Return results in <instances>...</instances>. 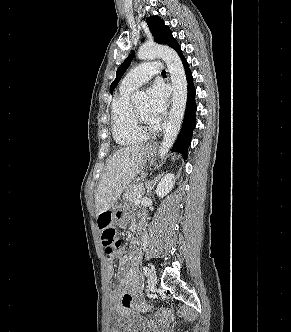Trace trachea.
<instances>
[{"label": "trachea", "mask_w": 291, "mask_h": 332, "mask_svg": "<svg viewBox=\"0 0 291 332\" xmlns=\"http://www.w3.org/2000/svg\"><path fill=\"white\" fill-rule=\"evenodd\" d=\"M161 74H162V75H166V72H165V71H162Z\"/></svg>", "instance_id": "obj_1"}]
</instances>
